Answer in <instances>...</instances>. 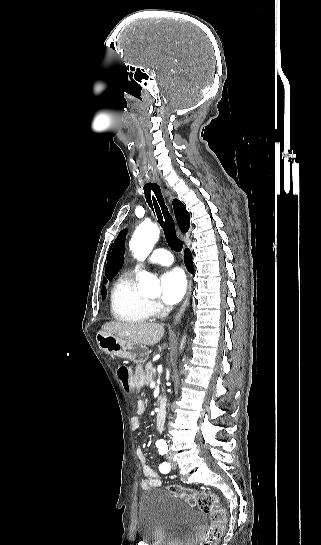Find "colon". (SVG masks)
Returning a JSON list of instances; mask_svg holds the SVG:
<instances>
[{
  "mask_svg": "<svg viewBox=\"0 0 321 545\" xmlns=\"http://www.w3.org/2000/svg\"><path fill=\"white\" fill-rule=\"evenodd\" d=\"M117 376L127 391L134 388L130 369L121 365L117 368ZM169 491L189 504H197L200 510L206 513L210 518V525L200 545H217L227 521L226 511L219 502L218 497L210 492L196 494L192 489L180 485H172Z\"/></svg>",
  "mask_w": 321,
  "mask_h": 545,
  "instance_id": "obj_1",
  "label": "colon"
}]
</instances>
